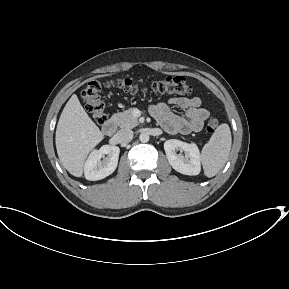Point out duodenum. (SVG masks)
I'll return each mask as SVG.
<instances>
[{
	"label": "duodenum",
	"mask_w": 289,
	"mask_h": 289,
	"mask_svg": "<svg viewBox=\"0 0 289 289\" xmlns=\"http://www.w3.org/2000/svg\"><path fill=\"white\" fill-rule=\"evenodd\" d=\"M103 131L106 136L112 137L116 132V123L112 120L107 121L104 124Z\"/></svg>",
	"instance_id": "410a0bca"
}]
</instances>
